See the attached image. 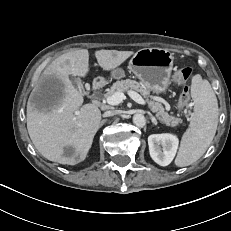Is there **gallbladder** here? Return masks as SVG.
Here are the masks:
<instances>
[{
    "label": "gallbladder",
    "instance_id": "bac80fb5",
    "mask_svg": "<svg viewBox=\"0 0 231 231\" xmlns=\"http://www.w3.org/2000/svg\"><path fill=\"white\" fill-rule=\"evenodd\" d=\"M74 83L77 85V87L79 88V90H81L84 94L86 93L84 91V88H83V83L80 79L78 78H74Z\"/></svg>",
    "mask_w": 231,
    "mask_h": 231
}]
</instances>
